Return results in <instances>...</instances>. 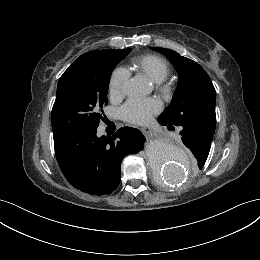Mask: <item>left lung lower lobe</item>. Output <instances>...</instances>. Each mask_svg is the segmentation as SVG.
<instances>
[{
    "mask_svg": "<svg viewBox=\"0 0 260 260\" xmlns=\"http://www.w3.org/2000/svg\"><path fill=\"white\" fill-rule=\"evenodd\" d=\"M158 121L160 124L168 126V129H174L173 124L160 116ZM179 126L181 129V139L184 145L191 150L199 165L205 164L214 133L193 122L183 123Z\"/></svg>",
    "mask_w": 260,
    "mask_h": 260,
    "instance_id": "left-lung-lower-lobe-1",
    "label": "left lung lower lobe"
}]
</instances>
